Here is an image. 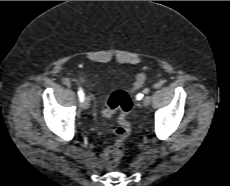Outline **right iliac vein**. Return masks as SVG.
<instances>
[{
  "label": "right iliac vein",
  "mask_w": 230,
  "mask_h": 186,
  "mask_svg": "<svg viewBox=\"0 0 230 186\" xmlns=\"http://www.w3.org/2000/svg\"><path fill=\"white\" fill-rule=\"evenodd\" d=\"M90 106V102L88 97H84V100L82 101V108L87 110Z\"/></svg>",
  "instance_id": "1"
}]
</instances>
